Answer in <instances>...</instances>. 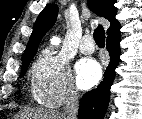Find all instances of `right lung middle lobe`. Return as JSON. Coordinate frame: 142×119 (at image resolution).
<instances>
[{"instance_id":"1","label":"right lung middle lobe","mask_w":142,"mask_h":119,"mask_svg":"<svg viewBox=\"0 0 142 119\" xmlns=\"http://www.w3.org/2000/svg\"><path fill=\"white\" fill-rule=\"evenodd\" d=\"M31 60H28L26 63L22 64V67H21V77L24 76V74L26 73V70L29 66V63H30Z\"/></svg>"}]
</instances>
